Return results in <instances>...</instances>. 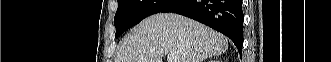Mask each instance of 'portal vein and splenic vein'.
Here are the masks:
<instances>
[{"instance_id": "18ae733b", "label": "portal vein and splenic vein", "mask_w": 331, "mask_h": 62, "mask_svg": "<svg viewBox=\"0 0 331 62\" xmlns=\"http://www.w3.org/2000/svg\"><path fill=\"white\" fill-rule=\"evenodd\" d=\"M177 58L174 54H168L167 61L168 62H176Z\"/></svg>"}]
</instances>
